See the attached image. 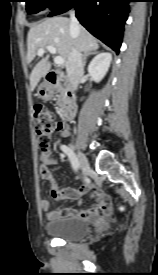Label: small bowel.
Instances as JSON below:
<instances>
[{
	"label": "small bowel",
	"instance_id": "obj_1",
	"mask_svg": "<svg viewBox=\"0 0 158 275\" xmlns=\"http://www.w3.org/2000/svg\"><path fill=\"white\" fill-rule=\"evenodd\" d=\"M57 130L62 134V136L67 137L69 134L68 128L60 124ZM41 166L39 169L40 176L43 180L50 182L51 194L57 200H74L78 205L82 204V197L88 192H91L92 196L95 198V203L90 210H82L80 208H56L51 209L50 200L43 198L40 202L41 209L46 213L47 217L50 219L61 217V216H74V217H98L106 214L109 210V201L106 195L101 193L97 186L91 182H86L85 184L77 187H59L55 182L53 174L50 167L56 166L59 161L58 158L53 156L50 150L42 151L40 155Z\"/></svg>",
	"mask_w": 158,
	"mask_h": 275
}]
</instances>
